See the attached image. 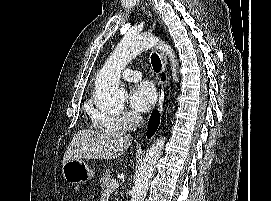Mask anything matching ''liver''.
Returning <instances> with one entry per match:
<instances>
[{
	"instance_id": "6515ba94",
	"label": "liver",
	"mask_w": 271,
	"mask_h": 201,
	"mask_svg": "<svg viewBox=\"0 0 271 201\" xmlns=\"http://www.w3.org/2000/svg\"><path fill=\"white\" fill-rule=\"evenodd\" d=\"M131 137L123 132L80 130L74 134L62 164L81 159L119 158L130 146Z\"/></svg>"
}]
</instances>
